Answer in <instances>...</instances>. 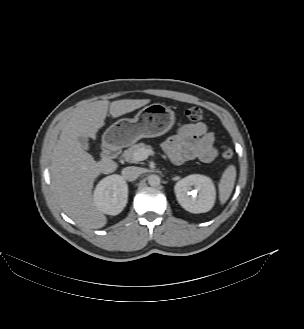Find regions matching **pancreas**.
Wrapping results in <instances>:
<instances>
[{"label": "pancreas", "mask_w": 304, "mask_h": 329, "mask_svg": "<svg viewBox=\"0 0 304 329\" xmlns=\"http://www.w3.org/2000/svg\"><path fill=\"white\" fill-rule=\"evenodd\" d=\"M139 149H151V146L146 145L144 143L134 144L123 152L122 154L123 159L130 163H137L138 161L134 160L133 155Z\"/></svg>", "instance_id": "cf45deb5"}]
</instances>
